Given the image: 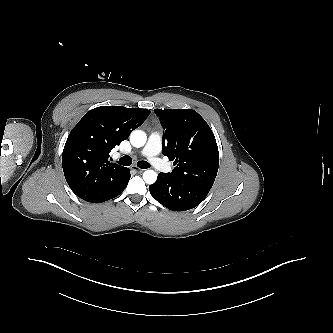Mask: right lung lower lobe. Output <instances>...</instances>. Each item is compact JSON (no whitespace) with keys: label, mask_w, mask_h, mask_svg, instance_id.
I'll use <instances>...</instances> for the list:
<instances>
[{"label":"right lung lower lobe","mask_w":333,"mask_h":333,"mask_svg":"<svg viewBox=\"0 0 333 333\" xmlns=\"http://www.w3.org/2000/svg\"><path fill=\"white\" fill-rule=\"evenodd\" d=\"M130 170L127 169V171L125 172V178H124V181L123 183L120 185V187H118L115 191H112L111 193L103 196L102 198H100L98 201H96L95 203H99V202H104L106 200H109V199H112L118 195H120L124 189L126 188L127 184H128V181L130 179Z\"/></svg>","instance_id":"1"}]
</instances>
